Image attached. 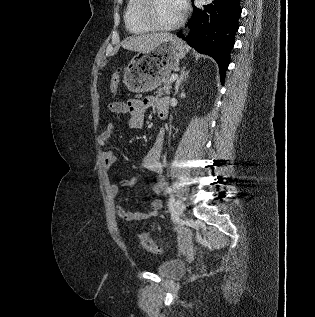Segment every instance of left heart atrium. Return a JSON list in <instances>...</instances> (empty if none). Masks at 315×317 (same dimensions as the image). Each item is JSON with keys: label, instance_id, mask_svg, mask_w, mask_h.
Listing matches in <instances>:
<instances>
[{"label": "left heart atrium", "instance_id": "1", "mask_svg": "<svg viewBox=\"0 0 315 317\" xmlns=\"http://www.w3.org/2000/svg\"><path fill=\"white\" fill-rule=\"evenodd\" d=\"M176 7L182 13L186 9V0H174Z\"/></svg>", "mask_w": 315, "mask_h": 317}]
</instances>
